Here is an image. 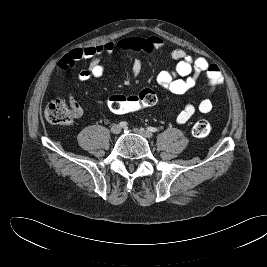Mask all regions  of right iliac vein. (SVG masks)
<instances>
[{
  "instance_id": "63e3f726",
  "label": "right iliac vein",
  "mask_w": 267,
  "mask_h": 267,
  "mask_svg": "<svg viewBox=\"0 0 267 267\" xmlns=\"http://www.w3.org/2000/svg\"><path fill=\"white\" fill-rule=\"evenodd\" d=\"M111 132L113 134H119L121 132V126H119V125H113L111 127Z\"/></svg>"
}]
</instances>
